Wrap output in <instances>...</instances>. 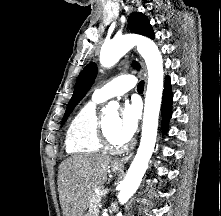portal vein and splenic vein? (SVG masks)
Listing matches in <instances>:
<instances>
[{
	"label": "portal vein and splenic vein",
	"mask_w": 221,
	"mask_h": 216,
	"mask_svg": "<svg viewBox=\"0 0 221 216\" xmlns=\"http://www.w3.org/2000/svg\"><path fill=\"white\" fill-rule=\"evenodd\" d=\"M107 192H108V189H104V190L102 191V195H105Z\"/></svg>",
	"instance_id": "obj_1"
}]
</instances>
